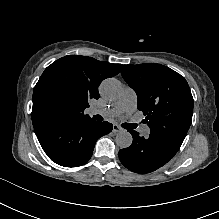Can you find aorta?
I'll return each instance as SVG.
<instances>
[{
  "instance_id": "aorta-1",
  "label": "aorta",
  "mask_w": 219,
  "mask_h": 219,
  "mask_svg": "<svg viewBox=\"0 0 219 219\" xmlns=\"http://www.w3.org/2000/svg\"><path fill=\"white\" fill-rule=\"evenodd\" d=\"M122 91V85L119 80L115 78L105 79L100 84L101 94L108 99H116ZM116 144L120 148H128L133 141L132 135L128 131H120L115 138Z\"/></svg>"
}]
</instances>
